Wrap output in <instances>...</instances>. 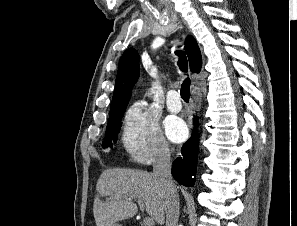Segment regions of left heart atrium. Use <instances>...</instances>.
I'll use <instances>...</instances> for the list:
<instances>
[{
    "label": "left heart atrium",
    "mask_w": 297,
    "mask_h": 226,
    "mask_svg": "<svg viewBox=\"0 0 297 226\" xmlns=\"http://www.w3.org/2000/svg\"><path fill=\"white\" fill-rule=\"evenodd\" d=\"M167 136L174 142L183 141L188 134L186 124L176 116H169L164 123Z\"/></svg>",
    "instance_id": "obj_1"
}]
</instances>
